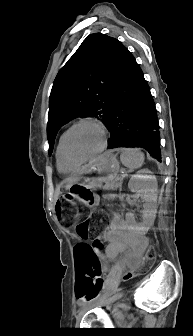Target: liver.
<instances>
[{
    "instance_id": "liver-1",
    "label": "liver",
    "mask_w": 193,
    "mask_h": 336,
    "mask_svg": "<svg viewBox=\"0 0 193 336\" xmlns=\"http://www.w3.org/2000/svg\"><path fill=\"white\" fill-rule=\"evenodd\" d=\"M97 159L91 160L87 165L83 166L81 169H79L75 174H73L72 176H70L69 178L66 179V186L65 189L69 190L71 188V186L75 183H77L80 179L81 176L83 174H85L89 167L96 161Z\"/></svg>"
}]
</instances>
